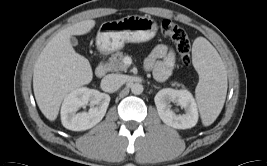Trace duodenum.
Instances as JSON below:
<instances>
[{
  "mask_svg": "<svg viewBox=\"0 0 267 166\" xmlns=\"http://www.w3.org/2000/svg\"><path fill=\"white\" fill-rule=\"evenodd\" d=\"M107 73V66L104 62H100L96 67L95 74L98 78H102Z\"/></svg>",
  "mask_w": 267,
  "mask_h": 166,
  "instance_id": "obj_1",
  "label": "duodenum"
}]
</instances>
